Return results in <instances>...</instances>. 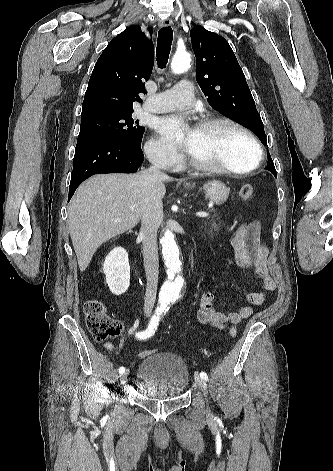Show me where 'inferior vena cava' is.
<instances>
[{
    "label": "inferior vena cava",
    "mask_w": 333,
    "mask_h": 471,
    "mask_svg": "<svg viewBox=\"0 0 333 471\" xmlns=\"http://www.w3.org/2000/svg\"><path fill=\"white\" fill-rule=\"evenodd\" d=\"M148 172L154 176L165 177L157 165L151 166ZM163 219V205L161 201H148L142 210L143 257L147 279L144 298V312L151 313L157 294L159 260L157 248V231Z\"/></svg>",
    "instance_id": "1"
}]
</instances>
